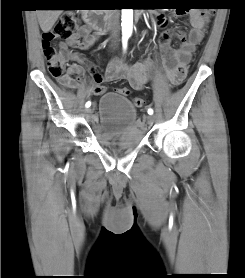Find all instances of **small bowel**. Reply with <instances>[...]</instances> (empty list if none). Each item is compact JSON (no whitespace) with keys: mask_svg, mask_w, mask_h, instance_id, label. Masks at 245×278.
Returning <instances> with one entry per match:
<instances>
[{"mask_svg":"<svg viewBox=\"0 0 245 278\" xmlns=\"http://www.w3.org/2000/svg\"><path fill=\"white\" fill-rule=\"evenodd\" d=\"M176 14L178 15L180 12ZM204 15L199 9L190 11L192 28L188 34L183 31H176L161 35L159 50L162 56V67L165 70L166 78L170 82L182 79L187 75L193 53L204 38ZM156 21L159 26L166 24V20L162 16H158ZM100 34L98 32L92 33L90 27L84 25L76 33L71 34L65 42H62V45L80 51L88 50L97 42ZM174 37L181 42L178 49H173L171 46ZM85 67L97 82L92 87L91 92L95 95L104 94L105 88L99 83L101 77L95 72L94 66L86 60H82L81 63H73L67 68L64 78L68 83L59 82L67 88H78L86 80ZM152 68L153 65L150 60L128 65L123 59H115L107 70L106 79L127 80L134 90H142L152 77Z\"/></svg>","mask_w":245,"mask_h":278,"instance_id":"c3829d8e","label":"small bowel"}]
</instances>
